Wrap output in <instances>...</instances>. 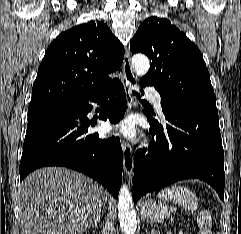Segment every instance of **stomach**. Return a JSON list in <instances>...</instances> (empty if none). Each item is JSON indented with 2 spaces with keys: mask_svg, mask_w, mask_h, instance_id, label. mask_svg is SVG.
<instances>
[{
  "mask_svg": "<svg viewBox=\"0 0 241 234\" xmlns=\"http://www.w3.org/2000/svg\"><path fill=\"white\" fill-rule=\"evenodd\" d=\"M141 215L152 221L161 222L170 216L169 207L162 201L146 200L140 205Z\"/></svg>",
  "mask_w": 241,
  "mask_h": 234,
  "instance_id": "stomach-1",
  "label": "stomach"
}]
</instances>
